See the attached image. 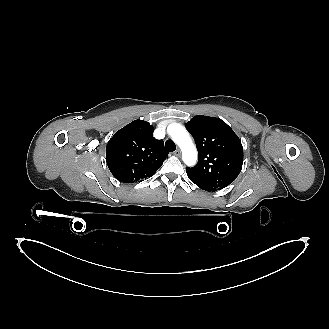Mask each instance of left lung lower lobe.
I'll return each instance as SVG.
<instances>
[{
    "label": "left lung lower lobe",
    "instance_id": "obj_1",
    "mask_svg": "<svg viewBox=\"0 0 329 329\" xmlns=\"http://www.w3.org/2000/svg\"><path fill=\"white\" fill-rule=\"evenodd\" d=\"M193 183H195V182H193ZM199 188H201V189H203V190H205V191H216V190H211V189H209V188H207V187H205V186H203V185H201V184H199V183H195Z\"/></svg>",
    "mask_w": 329,
    "mask_h": 329
}]
</instances>
